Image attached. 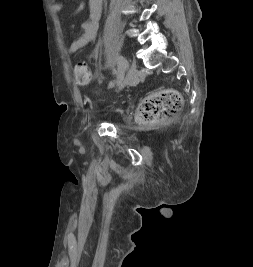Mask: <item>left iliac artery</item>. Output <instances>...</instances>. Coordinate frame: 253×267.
Instances as JSON below:
<instances>
[{"mask_svg":"<svg viewBox=\"0 0 253 267\" xmlns=\"http://www.w3.org/2000/svg\"><path fill=\"white\" fill-rule=\"evenodd\" d=\"M117 64H118V70H119L118 76H117V79L115 81L110 83V87H114L115 84H117V85L121 84L123 77H124V72H125L127 60L125 59L124 56H121L120 58L117 57Z\"/></svg>","mask_w":253,"mask_h":267,"instance_id":"1","label":"left iliac artery"}]
</instances>
